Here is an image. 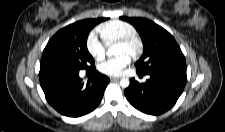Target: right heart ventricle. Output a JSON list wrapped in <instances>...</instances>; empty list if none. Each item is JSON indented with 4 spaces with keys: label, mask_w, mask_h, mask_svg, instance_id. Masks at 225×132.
Listing matches in <instances>:
<instances>
[{
    "label": "right heart ventricle",
    "mask_w": 225,
    "mask_h": 132,
    "mask_svg": "<svg viewBox=\"0 0 225 132\" xmlns=\"http://www.w3.org/2000/svg\"><path fill=\"white\" fill-rule=\"evenodd\" d=\"M97 31L106 45H113L126 36L136 34L135 27L122 20L105 22L98 27Z\"/></svg>",
    "instance_id": "e07e8e85"
}]
</instances>
